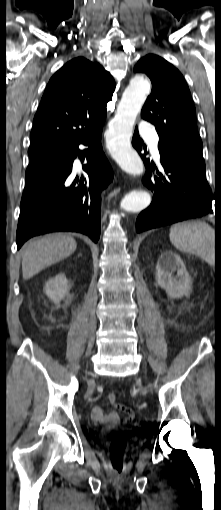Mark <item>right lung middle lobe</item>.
Listing matches in <instances>:
<instances>
[{"label": "right lung middle lobe", "instance_id": "obj_1", "mask_svg": "<svg viewBox=\"0 0 221 510\" xmlns=\"http://www.w3.org/2000/svg\"><path fill=\"white\" fill-rule=\"evenodd\" d=\"M61 150L59 149H46V150H39L35 152H28L30 157V163L36 162L38 160L54 156L58 154Z\"/></svg>", "mask_w": 221, "mask_h": 510}]
</instances>
